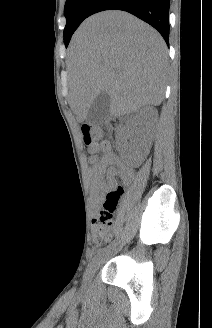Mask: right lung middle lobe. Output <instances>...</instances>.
<instances>
[{"label": "right lung middle lobe", "mask_w": 212, "mask_h": 328, "mask_svg": "<svg viewBox=\"0 0 212 328\" xmlns=\"http://www.w3.org/2000/svg\"><path fill=\"white\" fill-rule=\"evenodd\" d=\"M96 0H67L64 7L66 26L64 29V42L67 47L69 41L81 24L88 17V12Z\"/></svg>", "instance_id": "dd1d6c3e"}]
</instances>
